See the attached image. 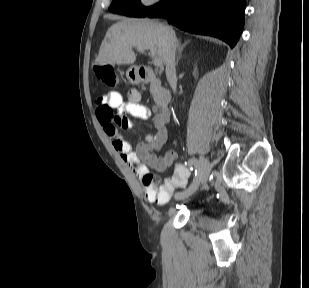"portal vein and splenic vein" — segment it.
<instances>
[{
    "label": "portal vein and splenic vein",
    "instance_id": "1",
    "mask_svg": "<svg viewBox=\"0 0 309 288\" xmlns=\"http://www.w3.org/2000/svg\"><path fill=\"white\" fill-rule=\"evenodd\" d=\"M137 50L140 51V52H143L145 50H150V52L152 53V56H153L154 65H156V66H161L162 65L161 58L155 55L156 48L154 46H149V47H147V46H139V47H137Z\"/></svg>",
    "mask_w": 309,
    "mask_h": 288
}]
</instances>
